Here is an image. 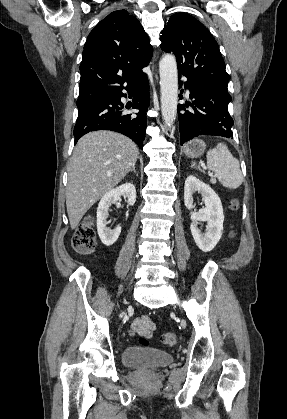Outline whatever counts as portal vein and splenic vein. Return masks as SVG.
<instances>
[{"label":"portal vein and splenic vein","instance_id":"obj_1","mask_svg":"<svg viewBox=\"0 0 287 419\" xmlns=\"http://www.w3.org/2000/svg\"><path fill=\"white\" fill-rule=\"evenodd\" d=\"M211 181H212V182H216V180H215V179H212Z\"/></svg>","mask_w":287,"mask_h":419}]
</instances>
